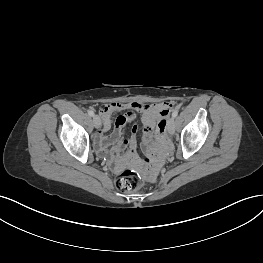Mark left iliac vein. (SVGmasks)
I'll use <instances>...</instances> for the list:
<instances>
[{
  "label": "left iliac vein",
  "mask_w": 263,
  "mask_h": 263,
  "mask_svg": "<svg viewBox=\"0 0 263 263\" xmlns=\"http://www.w3.org/2000/svg\"><path fill=\"white\" fill-rule=\"evenodd\" d=\"M167 130L170 135H173L175 132V120L173 117H171L168 121Z\"/></svg>",
  "instance_id": "1"
}]
</instances>
